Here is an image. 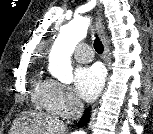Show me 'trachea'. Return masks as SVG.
Masks as SVG:
<instances>
[{"label": "trachea", "instance_id": "1", "mask_svg": "<svg viewBox=\"0 0 153 134\" xmlns=\"http://www.w3.org/2000/svg\"><path fill=\"white\" fill-rule=\"evenodd\" d=\"M95 37L96 38H95V41H94V49L97 53L101 54L104 51L103 44L100 41V39L98 38L97 34H95Z\"/></svg>", "mask_w": 153, "mask_h": 134}]
</instances>
